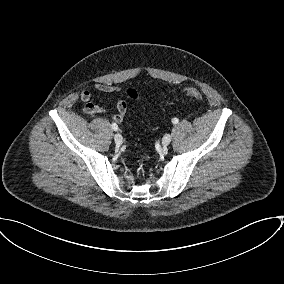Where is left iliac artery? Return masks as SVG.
<instances>
[{
	"instance_id": "obj_1",
	"label": "left iliac artery",
	"mask_w": 284,
	"mask_h": 284,
	"mask_svg": "<svg viewBox=\"0 0 284 284\" xmlns=\"http://www.w3.org/2000/svg\"><path fill=\"white\" fill-rule=\"evenodd\" d=\"M178 121H179L178 118H173V119H172V123H173V124H177Z\"/></svg>"
}]
</instances>
